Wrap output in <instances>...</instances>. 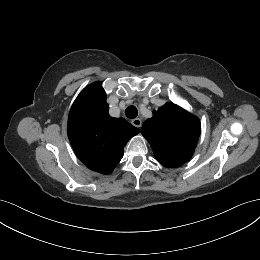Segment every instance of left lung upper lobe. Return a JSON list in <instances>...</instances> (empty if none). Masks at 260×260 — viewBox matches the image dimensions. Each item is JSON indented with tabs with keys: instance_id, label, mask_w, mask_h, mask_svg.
<instances>
[{
	"instance_id": "obj_1",
	"label": "left lung upper lobe",
	"mask_w": 260,
	"mask_h": 260,
	"mask_svg": "<svg viewBox=\"0 0 260 260\" xmlns=\"http://www.w3.org/2000/svg\"><path fill=\"white\" fill-rule=\"evenodd\" d=\"M199 119L167 102L141 128L157 161L166 168H177L189 161L200 136Z\"/></svg>"
}]
</instances>
